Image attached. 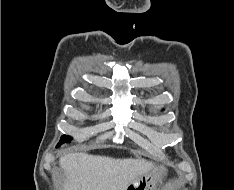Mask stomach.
<instances>
[{"mask_svg": "<svg viewBox=\"0 0 234 190\" xmlns=\"http://www.w3.org/2000/svg\"><path fill=\"white\" fill-rule=\"evenodd\" d=\"M165 174V167H151L147 173L131 182L126 190H156L157 184L161 182Z\"/></svg>", "mask_w": 234, "mask_h": 190, "instance_id": "obj_1", "label": "stomach"}]
</instances>
